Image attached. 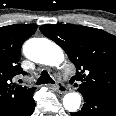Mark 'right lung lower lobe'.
I'll return each instance as SVG.
<instances>
[{"mask_svg":"<svg viewBox=\"0 0 116 116\" xmlns=\"http://www.w3.org/2000/svg\"><path fill=\"white\" fill-rule=\"evenodd\" d=\"M35 109L34 99L17 115V116H30Z\"/></svg>","mask_w":116,"mask_h":116,"instance_id":"1","label":"right lung lower lobe"}]
</instances>
